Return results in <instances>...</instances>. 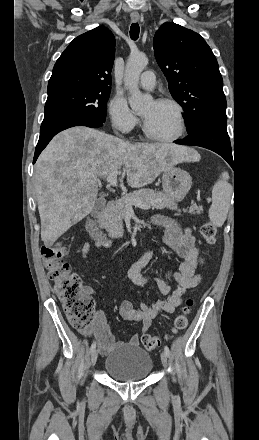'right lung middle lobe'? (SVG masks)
Returning <instances> with one entry per match:
<instances>
[{
  "label": "right lung middle lobe",
  "instance_id": "1",
  "mask_svg": "<svg viewBox=\"0 0 259 440\" xmlns=\"http://www.w3.org/2000/svg\"><path fill=\"white\" fill-rule=\"evenodd\" d=\"M110 90L67 89L48 94L44 120L75 115L105 122Z\"/></svg>",
  "mask_w": 259,
  "mask_h": 440
}]
</instances>
